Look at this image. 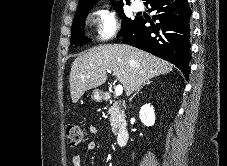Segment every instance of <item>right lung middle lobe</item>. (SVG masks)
I'll use <instances>...</instances> for the list:
<instances>
[{
	"mask_svg": "<svg viewBox=\"0 0 227 166\" xmlns=\"http://www.w3.org/2000/svg\"><path fill=\"white\" fill-rule=\"evenodd\" d=\"M90 9L78 10L75 13L74 21L71 28V44L75 46L83 45L87 42H90V39L84 36V26L87 14ZM115 10L119 12L120 16L123 19L121 31L118 35H122L128 28H130L138 18L131 20L123 14L121 6L115 7Z\"/></svg>",
	"mask_w": 227,
	"mask_h": 166,
	"instance_id": "1",
	"label": "right lung middle lobe"
}]
</instances>
